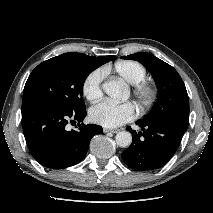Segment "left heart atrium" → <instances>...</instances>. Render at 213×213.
Listing matches in <instances>:
<instances>
[{
    "mask_svg": "<svg viewBox=\"0 0 213 213\" xmlns=\"http://www.w3.org/2000/svg\"><path fill=\"white\" fill-rule=\"evenodd\" d=\"M89 116L94 123L113 128L131 121L135 116V108L129 102L117 104L103 101L90 109Z\"/></svg>",
    "mask_w": 213,
    "mask_h": 213,
    "instance_id": "39dd6f15",
    "label": "left heart atrium"
}]
</instances>
